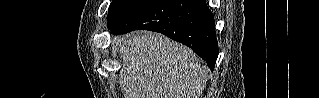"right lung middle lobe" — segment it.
I'll list each match as a JSON object with an SVG mask.
<instances>
[{"mask_svg":"<svg viewBox=\"0 0 319 98\" xmlns=\"http://www.w3.org/2000/svg\"><path fill=\"white\" fill-rule=\"evenodd\" d=\"M149 0H113L109 7L108 27L114 26Z\"/></svg>","mask_w":319,"mask_h":98,"instance_id":"obj_1","label":"right lung middle lobe"}]
</instances>
